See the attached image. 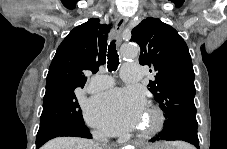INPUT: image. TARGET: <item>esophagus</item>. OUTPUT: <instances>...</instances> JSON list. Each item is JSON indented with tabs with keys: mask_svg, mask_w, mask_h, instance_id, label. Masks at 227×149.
<instances>
[{
	"mask_svg": "<svg viewBox=\"0 0 227 149\" xmlns=\"http://www.w3.org/2000/svg\"><path fill=\"white\" fill-rule=\"evenodd\" d=\"M126 22H127V18H124V17H120L117 20L115 33H116V38H117V44L118 45H120L121 42H122V33H123V30H124ZM138 144L139 145H144L145 141L144 140H139Z\"/></svg>",
	"mask_w": 227,
	"mask_h": 149,
	"instance_id": "esophagus-1",
	"label": "esophagus"
}]
</instances>
